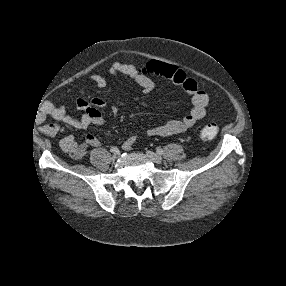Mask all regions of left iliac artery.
Instances as JSON below:
<instances>
[{
    "instance_id": "left-iliac-artery-1",
    "label": "left iliac artery",
    "mask_w": 286,
    "mask_h": 286,
    "mask_svg": "<svg viewBox=\"0 0 286 286\" xmlns=\"http://www.w3.org/2000/svg\"><path fill=\"white\" fill-rule=\"evenodd\" d=\"M157 153H158V154H162V153H163V149H162V148H158V149H157Z\"/></svg>"
}]
</instances>
